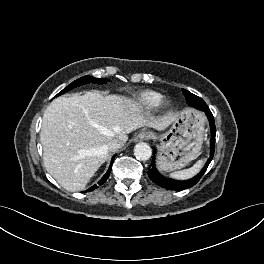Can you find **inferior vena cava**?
Segmentation results:
<instances>
[{"label":"inferior vena cava","instance_id":"inferior-vena-cava-1","mask_svg":"<svg viewBox=\"0 0 264 264\" xmlns=\"http://www.w3.org/2000/svg\"><path fill=\"white\" fill-rule=\"evenodd\" d=\"M123 146V143L121 141L118 140H112L108 143L107 147L110 151L119 149Z\"/></svg>","mask_w":264,"mask_h":264}]
</instances>
